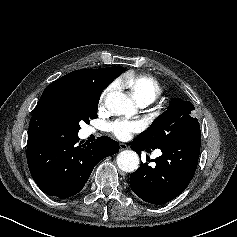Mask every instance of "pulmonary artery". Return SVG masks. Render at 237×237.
I'll list each match as a JSON object with an SVG mask.
<instances>
[{"instance_id": "pulmonary-artery-1", "label": "pulmonary artery", "mask_w": 237, "mask_h": 237, "mask_svg": "<svg viewBox=\"0 0 237 237\" xmlns=\"http://www.w3.org/2000/svg\"><path fill=\"white\" fill-rule=\"evenodd\" d=\"M142 106H145V105H142ZM93 130L91 129L90 132H92ZM160 153L158 152L155 156H158Z\"/></svg>"}]
</instances>
